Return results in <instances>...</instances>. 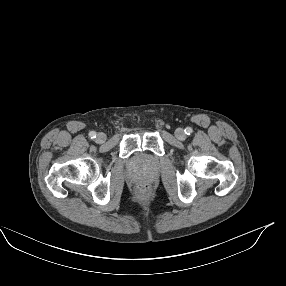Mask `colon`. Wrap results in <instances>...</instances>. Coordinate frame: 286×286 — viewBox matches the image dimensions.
I'll return each mask as SVG.
<instances>
[{
  "label": "colon",
  "instance_id": "colon-1",
  "mask_svg": "<svg viewBox=\"0 0 286 286\" xmlns=\"http://www.w3.org/2000/svg\"><path fill=\"white\" fill-rule=\"evenodd\" d=\"M136 190L138 192V194L145 196L149 193V187L147 184L144 183H140L136 186Z\"/></svg>",
  "mask_w": 286,
  "mask_h": 286
}]
</instances>
